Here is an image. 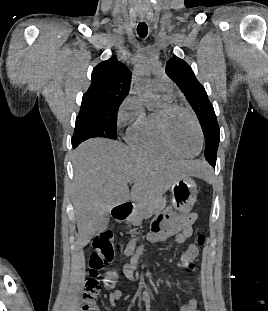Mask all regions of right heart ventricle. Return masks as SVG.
<instances>
[{
	"instance_id": "obj_1",
	"label": "right heart ventricle",
	"mask_w": 268,
	"mask_h": 311,
	"mask_svg": "<svg viewBox=\"0 0 268 311\" xmlns=\"http://www.w3.org/2000/svg\"><path fill=\"white\" fill-rule=\"evenodd\" d=\"M165 104L171 103L172 97L163 96ZM127 141L134 148L149 152L175 156L163 141L159 129V111L144 113L129 128Z\"/></svg>"
}]
</instances>
